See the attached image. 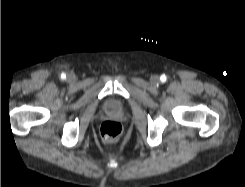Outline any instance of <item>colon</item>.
<instances>
[{
    "label": "colon",
    "instance_id": "colon-1",
    "mask_svg": "<svg viewBox=\"0 0 245 187\" xmlns=\"http://www.w3.org/2000/svg\"><path fill=\"white\" fill-rule=\"evenodd\" d=\"M121 133V124L114 120H107L103 122L100 127V135L105 142H112L117 140L120 137Z\"/></svg>",
    "mask_w": 245,
    "mask_h": 187
}]
</instances>
